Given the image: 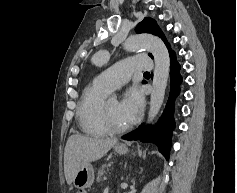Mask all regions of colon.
I'll return each mask as SVG.
<instances>
[{
    "instance_id": "obj_1",
    "label": "colon",
    "mask_w": 237,
    "mask_h": 193,
    "mask_svg": "<svg viewBox=\"0 0 237 193\" xmlns=\"http://www.w3.org/2000/svg\"><path fill=\"white\" fill-rule=\"evenodd\" d=\"M74 193H86L83 189H78Z\"/></svg>"
}]
</instances>
